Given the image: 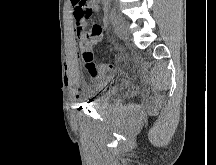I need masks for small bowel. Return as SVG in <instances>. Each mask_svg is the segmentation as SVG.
I'll return each mask as SVG.
<instances>
[{
  "label": "small bowel",
  "instance_id": "small-bowel-1",
  "mask_svg": "<svg viewBox=\"0 0 216 165\" xmlns=\"http://www.w3.org/2000/svg\"><path fill=\"white\" fill-rule=\"evenodd\" d=\"M71 3L73 6V18L75 22L73 35L75 40L83 42L87 39V33H85L84 28L87 26L89 17L92 13H95L99 10L98 0H88L87 2H84L83 5L76 6L73 4L72 0ZM107 22V17H105L103 20V25L106 26ZM87 70L92 76H97L94 71L90 70L89 68H87ZM76 97H81V94L79 92H76Z\"/></svg>",
  "mask_w": 216,
  "mask_h": 165
}]
</instances>
